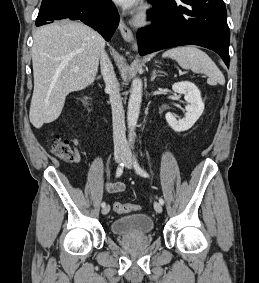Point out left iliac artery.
Returning <instances> with one entry per match:
<instances>
[{"instance_id": "obj_1", "label": "left iliac artery", "mask_w": 259, "mask_h": 283, "mask_svg": "<svg viewBox=\"0 0 259 283\" xmlns=\"http://www.w3.org/2000/svg\"><path fill=\"white\" fill-rule=\"evenodd\" d=\"M134 167H135L136 172H137L139 175H141V176H143V177H149V175L147 174V172H145V171L139 166L135 155H134ZM159 202H160V204L163 205V204H164L163 198L160 197V198H159Z\"/></svg>"}]
</instances>
